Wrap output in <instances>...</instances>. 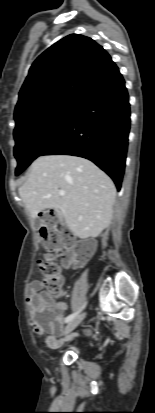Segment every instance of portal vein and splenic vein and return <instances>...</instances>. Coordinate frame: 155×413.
I'll return each instance as SVG.
<instances>
[{
	"label": "portal vein and splenic vein",
	"instance_id": "18ae733b",
	"mask_svg": "<svg viewBox=\"0 0 155 413\" xmlns=\"http://www.w3.org/2000/svg\"><path fill=\"white\" fill-rule=\"evenodd\" d=\"M59 194H60L61 196H63V195H65V191L60 190V191H59Z\"/></svg>",
	"mask_w": 155,
	"mask_h": 413
}]
</instances>
